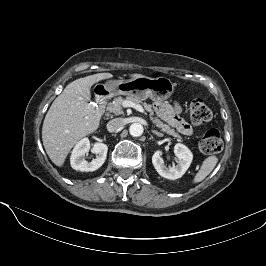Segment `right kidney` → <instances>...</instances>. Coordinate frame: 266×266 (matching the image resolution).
<instances>
[{
  "mask_svg": "<svg viewBox=\"0 0 266 266\" xmlns=\"http://www.w3.org/2000/svg\"><path fill=\"white\" fill-rule=\"evenodd\" d=\"M90 148L91 145L88 138H83L76 144L70 158L71 167L73 169L89 172L99 169L104 164L108 151L107 145L101 142L94 143L92 152L95 153L97 157L88 162L85 159V154L89 152Z\"/></svg>",
  "mask_w": 266,
  "mask_h": 266,
  "instance_id": "1",
  "label": "right kidney"
}]
</instances>
